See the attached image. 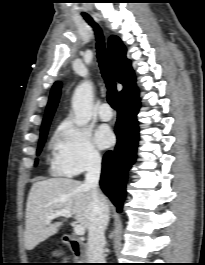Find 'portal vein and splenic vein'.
<instances>
[{"instance_id": "obj_1", "label": "portal vein and splenic vein", "mask_w": 205, "mask_h": 265, "mask_svg": "<svg viewBox=\"0 0 205 265\" xmlns=\"http://www.w3.org/2000/svg\"><path fill=\"white\" fill-rule=\"evenodd\" d=\"M59 216H64V217L70 218V217H72V213L68 210L56 211L55 213H51L47 217V221L49 222L50 220L57 218ZM73 227H74L75 234H77L79 236H82L85 234V228L82 225L74 223Z\"/></svg>"}]
</instances>
